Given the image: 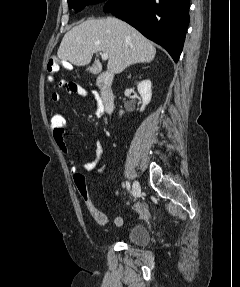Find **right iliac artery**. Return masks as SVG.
Returning a JSON list of instances; mask_svg holds the SVG:
<instances>
[{"mask_svg": "<svg viewBox=\"0 0 240 287\" xmlns=\"http://www.w3.org/2000/svg\"><path fill=\"white\" fill-rule=\"evenodd\" d=\"M126 188L128 191H130V183L129 182H126Z\"/></svg>", "mask_w": 240, "mask_h": 287, "instance_id": "obj_1", "label": "right iliac artery"}]
</instances>
